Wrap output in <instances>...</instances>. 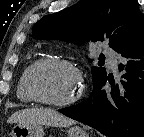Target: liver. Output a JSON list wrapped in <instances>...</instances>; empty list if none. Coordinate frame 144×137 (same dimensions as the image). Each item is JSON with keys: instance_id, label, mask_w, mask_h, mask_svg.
<instances>
[{"instance_id": "obj_1", "label": "liver", "mask_w": 144, "mask_h": 137, "mask_svg": "<svg viewBox=\"0 0 144 137\" xmlns=\"http://www.w3.org/2000/svg\"><path fill=\"white\" fill-rule=\"evenodd\" d=\"M7 122L52 127H67L75 123L74 120L50 108L23 109L12 114Z\"/></svg>"}]
</instances>
